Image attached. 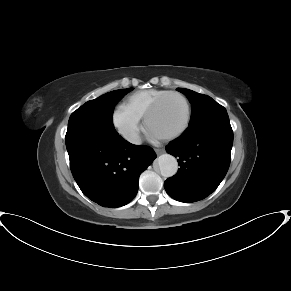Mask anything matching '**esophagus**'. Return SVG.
<instances>
[{"label": "esophagus", "instance_id": "1", "mask_svg": "<svg viewBox=\"0 0 291 291\" xmlns=\"http://www.w3.org/2000/svg\"><path fill=\"white\" fill-rule=\"evenodd\" d=\"M155 152L157 155H160V154H163L165 152V150L161 149V148H157V149H155Z\"/></svg>", "mask_w": 291, "mask_h": 291}]
</instances>
